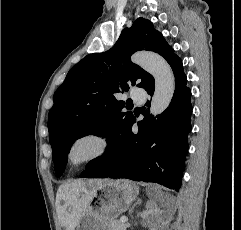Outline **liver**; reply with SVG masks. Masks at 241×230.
I'll use <instances>...</instances> for the list:
<instances>
[{
	"label": "liver",
	"mask_w": 241,
	"mask_h": 230,
	"mask_svg": "<svg viewBox=\"0 0 241 230\" xmlns=\"http://www.w3.org/2000/svg\"><path fill=\"white\" fill-rule=\"evenodd\" d=\"M95 185H61L57 191V213L66 230H75L85 209L90 204ZM63 201V205H61Z\"/></svg>",
	"instance_id": "liver-1"
}]
</instances>
